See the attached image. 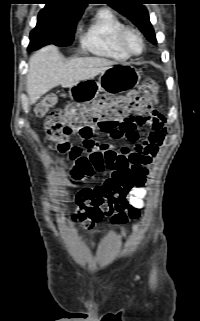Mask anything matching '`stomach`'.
<instances>
[{"label": "stomach", "instance_id": "0dacf381", "mask_svg": "<svg viewBox=\"0 0 200 321\" xmlns=\"http://www.w3.org/2000/svg\"><path fill=\"white\" fill-rule=\"evenodd\" d=\"M140 74L130 64H114L99 76L98 81L93 78L80 81L69 88V96L75 101H90L99 92L109 94L123 93L138 85Z\"/></svg>", "mask_w": 200, "mask_h": 321}]
</instances>
